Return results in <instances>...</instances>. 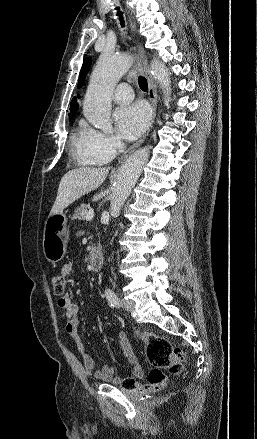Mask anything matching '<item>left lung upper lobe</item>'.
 Wrapping results in <instances>:
<instances>
[{
	"label": "left lung upper lobe",
	"instance_id": "5c2ea615",
	"mask_svg": "<svg viewBox=\"0 0 257 439\" xmlns=\"http://www.w3.org/2000/svg\"><path fill=\"white\" fill-rule=\"evenodd\" d=\"M92 62V58L91 57H87L84 61H83V65L80 71V77H79V86L82 85L84 78L87 74V72L89 71L90 65Z\"/></svg>",
	"mask_w": 257,
	"mask_h": 439
}]
</instances>
